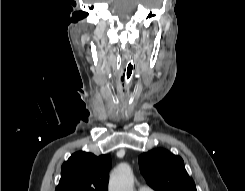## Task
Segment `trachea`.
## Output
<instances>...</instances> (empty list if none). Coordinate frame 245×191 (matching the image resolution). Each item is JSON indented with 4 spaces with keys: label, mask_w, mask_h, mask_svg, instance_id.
I'll list each match as a JSON object with an SVG mask.
<instances>
[{
    "label": "trachea",
    "mask_w": 245,
    "mask_h": 191,
    "mask_svg": "<svg viewBox=\"0 0 245 191\" xmlns=\"http://www.w3.org/2000/svg\"><path fill=\"white\" fill-rule=\"evenodd\" d=\"M135 68V63L133 60H129L126 67V85L128 86L130 78Z\"/></svg>",
    "instance_id": "3493384b"
}]
</instances>
